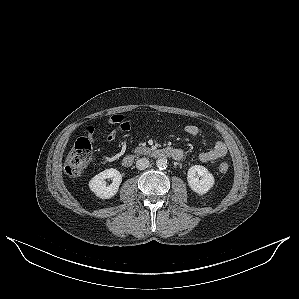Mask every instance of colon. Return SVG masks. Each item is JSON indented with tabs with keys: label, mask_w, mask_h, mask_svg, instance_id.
I'll return each instance as SVG.
<instances>
[{
	"label": "colon",
	"mask_w": 299,
	"mask_h": 299,
	"mask_svg": "<svg viewBox=\"0 0 299 299\" xmlns=\"http://www.w3.org/2000/svg\"><path fill=\"white\" fill-rule=\"evenodd\" d=\"M92 159V146L87 138H80L65 160L64 168L70 177H79L86 170ZM229 169L227 163H221L219 170L226 173Z\"/></svg>",
	"instance_id": "5ec220e1"
}]
</instances>
